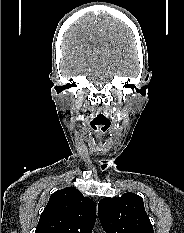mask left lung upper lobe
Listing matches in <instances>:
<instances>
[{
  "label": "left lung upper lobe",
  "instance_id": "5c2ea615",
  "mask_svg": "<svg viewBox=\"0 0 184 233\" xmlns=\"http://www.w3.org/2000/svg\"><path fill=\"white\" fill-rule=\"evenodd\" d=\"M98 216L106 233H154L143 199L131 192L118 198H103Z\"/></svg>",
  "mask_w": 184,
  "mask_h": 233
}]
</instances>
